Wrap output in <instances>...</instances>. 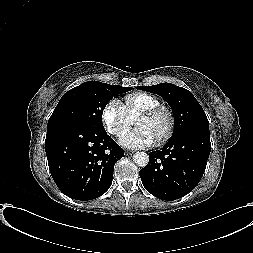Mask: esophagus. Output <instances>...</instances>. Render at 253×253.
Returning <instances> with one entry per match:
<instances>
[{"instance_id":"34e87169","label":"esophagus","mask_w":253,"mask_h":253,"mask_svg":"<svg viewBox=\"0 0 253 253\" xmlns=\"http://www.w3.org/2000/svg\"><path fill=\"white\" fill-rule=\"evenodd\" d=\"M133 153H134V151H130V150H126V151H125V154H126V155H132Z\"/></svg>"}]
</instances>
